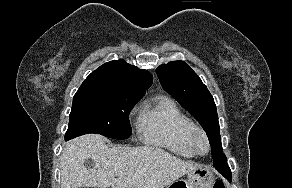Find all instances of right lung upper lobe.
<instances>
[{"mask_svg": "<svg viewBox=\"0 0 292 188\" xmlns=\"http://www.w3.org/2000/svg\"><path fill=\"white\" fill-rule=\"evenodd\" d=\"M153 77L124 60H113L93 71L82 85H98L143 96L151 86Z\"/></svg>", "mask_w": 292, "mask_h": 188, "instance_id": "obj_1", "label": "right lung upper lobe"}]
</instances>
